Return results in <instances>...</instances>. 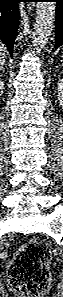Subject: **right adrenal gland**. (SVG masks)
<instances>
[{"mask_svg":"<svg viewBox=\"0 0 63 297\" xmlns=\"http://www.w3.org/2000/svg\"><path fill=\"white\" fill-rule=\"evenodd\" d=\"M0 71H1L2 73H4L5 70H4L3 65L0 66Z\"/></svg>","mask_w":63,"mask_h":297,"instance_id":"right-adrenal-gland-1","label":"right adrenal gland"}]
</instances>
